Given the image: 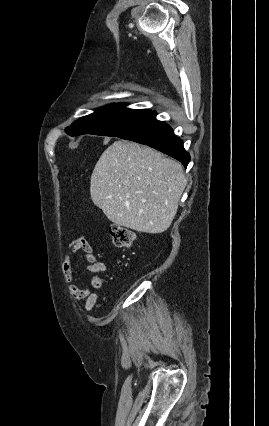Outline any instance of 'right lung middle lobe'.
Masks as SVG:
<instances>
[{
	"label": "right lung middle lobe",
	"instance_id": "right-lung-middle-lobe-1",
	"mask_svg": "<svg viewBox=\"0 0 269 426\" xmlns=\"http://www.w3.org/2000/svg\"><path fill=\"white\" fill-rule=\"evenodd\" d=\"M151 113V110H135L126 108L123 104H111L80 118L67 129L73 135L118 137L140 125Z\"/></svg>",
	"mask_w": 269,
	"mask_h": 426
}]
</instances>
